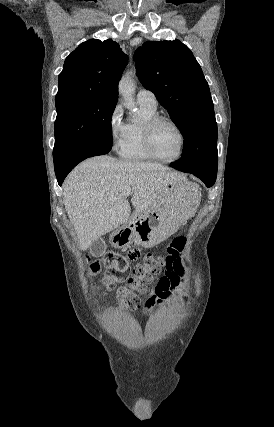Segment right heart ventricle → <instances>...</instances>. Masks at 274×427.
Listing matches in <instances>:
<instances>
[{
	"instance_id": "e07e8e85",
	"label": "right heart ventricle",
	"mask_w": 274,
	"mask_h": 427,
	"mask_svg": "<svg viewBox=\"0 0 274 427\" xmlns=\"http://www.w3.org/2000/svg\"><path fill=\"white\" fill-rule=\"evenodd\" d=\"M140 115L139 120L129 121L125 127V134L118 151L120 158L125 161H153L144 149L142 134L144 124L157 116V110L140 106Z\"/></svg>"
}]
</instances>
